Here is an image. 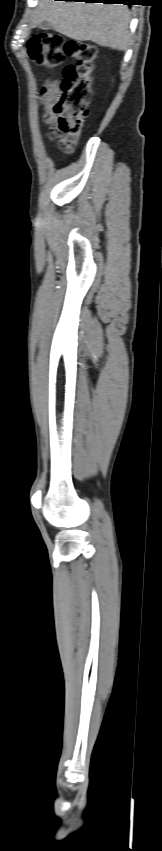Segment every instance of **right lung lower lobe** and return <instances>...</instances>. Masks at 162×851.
Returning <instances> with one entry per match:
<instances>
[{
    "label": "right lung lower lobe",
    "instance_id": "obj_1",
    "mask_svg": "<svg viewBox=\"0 0 162 851\" xmlns=\"http://www.w3.org/2000/svg\"><path fill=\"white\" fill-rule=\"evenodd\" d=\"M66 1H84V2H94V3L101 2V3H104V4H119V3H121V4H124V5H131L132 2L135 1V0H66Z\"/></svg>",
    "mask_w": 162,
    "mask_h": 851
}]
</instances>
